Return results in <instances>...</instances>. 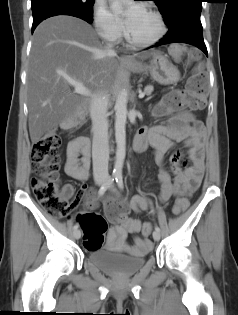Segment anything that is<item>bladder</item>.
I'll return each instance as SVG.
<instances>
[{
	"instance_id": "31cf9c89",
	"label": "bladder",
	"mask_w": 238,
	"mask_h": 315,
	"mask_svg": "<svg viewBox=\"0 0 238 315\" xmlns=\"http://www.w3.org/2000/svg\"><path fill=\"white\" fill-rule=\"evenodd\" d=\"M87 260L100 270L113 276L133 275L146 263L147 258L117 253L106 249H89Z\"/></svg>"
}]
</instances>
